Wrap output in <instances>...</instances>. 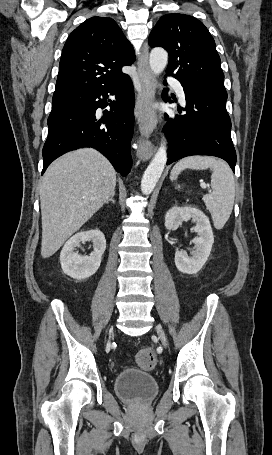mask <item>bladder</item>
Instances as JSON below:
<instances>
[{
  "instance_id": "bladder-1",
  "label": "bladder",
  "mask_w": 272,
  "mask_h": 455,
  "mask_svg": "<svg viewBox=\"0 0 272 455\" xmlns=\"http://www.w3.org/2000/svg\"><path fill=\"white\" fill-rule=\"evenodd\" d=\"M114 390L117 396L127 403L145 404L157 396L159 386L151 374L127 369L115 377Z\"/></svg>"
}]
</instances>
